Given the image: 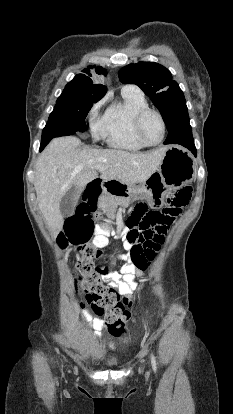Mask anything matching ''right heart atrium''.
<instances>
[{"instance_id": "obj_1", "label": "right heart atrium", "mask_w": 233, "mask_h": 414, "mask_svg": "<svg viewBox=\"0 0 233 414\" xmlns=\"http://www.w3.org/2000/svg\"><path fill=\"white\" fill-rule=\"evenodd\" d=\"M101 104H102V101L98 102L97 104H95L92 107V109L90 110V113H89L90 120H93L96 117Z\"/></svg>"}]
</instances>
